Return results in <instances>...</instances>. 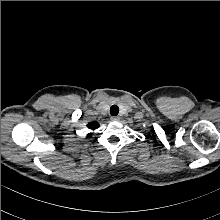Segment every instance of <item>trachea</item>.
<instances>
[{"label":"trachea","mask_w":220,"mask_h":220,"mask_svg":"<svg viewBox=\"0 0 220 220\" xmlns=\"http://www.w3.org/2000/svg\"><path fill=\"white\" fill-rule=\"evenodd\" d=\"M119 112V107L117 105H113L111 108H110V114L112 116H116Z\"/></svg>","instance_id":"3493384b"}]
</instances>
